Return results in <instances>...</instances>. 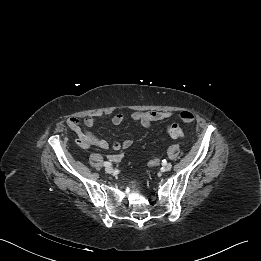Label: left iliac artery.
Instances as JSON below:
<instances>
[{"label": "left iliac artery", "instance_id": "1", "mask_svg": "<svg viewBox=\"0 0 261 261\" xmlns=\"http://www.w3.org/2000/svg\"><path fill=\"white\" fill-rule=\"evenodd\" d=\"M162 164L163 165L167 164V161L166 160H162Z\"/></svg>", "mask_w": 261, "mask_h": 261}]
</instances>
